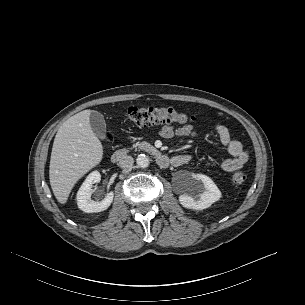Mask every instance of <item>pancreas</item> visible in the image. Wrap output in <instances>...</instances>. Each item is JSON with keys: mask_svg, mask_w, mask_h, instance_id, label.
I'll return each mask as SVG.
<instances>
[{"mask_svg": "<svg viewBox=\"0 0 305 305\" xmlns=\"http://www.w3.org/2000/svg\"><path fill=\"white\" fill-rule=\"evenodd\" d=\"M132 147L135 149V150H145V151H152L154 150V147L147 143V142H136L132 145Z\"/></svg>", "mask_w": 305, "mask_h": 305, "instance_id": "pancreas-1", "label": "pancreas"}]
</instances>
